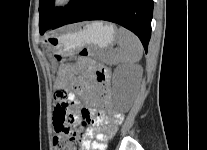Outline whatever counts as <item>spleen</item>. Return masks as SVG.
<instances>
[{"instance_id":"spleen-1","label":"spleen","mask_w":207,"mask_h":150,"mask_svg":"<svg viewBox=\"0 0 207 150\" xmlns=\"http://www.w3.org/2000/svg\"><path fill=\"white\" fill-rule=\"evenodd\" d=\"M117 42L119 45L117 59L119 62L132 65L139 62L143 55V47L132 32L120 27L117 31Z\"/></svg>"}]
</instances>
